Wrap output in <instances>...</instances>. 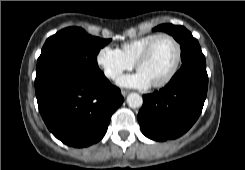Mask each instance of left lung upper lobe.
<instances>
[{
    "label": "left lung upper lobe",
    "mask_w": 245,
    "mask_h": 170,
    "mask_svg": "<svg viewBox=\"0 0 245 170\" xmlns=\"http://www.w3.org/2000/svg\"><path fill=\"white\" fill-rule=\"evenodd\" d=\"M153 31L167 32L181 44L182 66L194 65L206 67L205 57L201 51L198 41L185 27L175 26L172 24H162L155 27Z\"/></svg>",
    "instance_id": "1"
}]
</instances>
